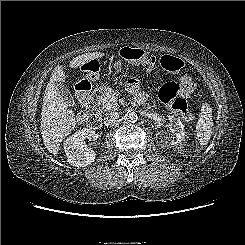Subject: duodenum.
Listing matches in <instances>:
<instances>
[{"label": "duodenum", "instance_id": "obj_1", "mask_svg": "<svg viewBox=\"0 0 245 245\" xmlns=\"http://www.w3.org/2000/svg\"><path fill=\"white\" fill-rule=\"evenodd\" d=\"M102 94L101 89H96L94 92H89L83 85H80L77 91V96L80 104L86 108L87 124L93 129H98L101 126V117L95 106L96 101Z\"/></svg>", "mask_w": 245, "mask_h": 245}]
</instances>
